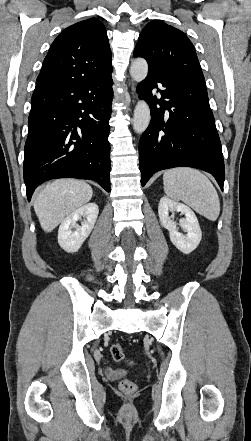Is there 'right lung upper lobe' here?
Here are the masks:
<instances>
[{"mask_svg":"<svg viewBox=\"0 0 251 441\" xmlns=\"http://www.w3.org/2000/svg\"><path fill=\"white\" fill-rule=\"evenodd\" d=\"M112 70L111 50L104 25L87 19L64 29L46 55L36 86L76 82Z\"/></svg>","mask_w":251,"mask_h":441,"instance_id":"obj_1","label":"right lung upper lobe"}]
</instances>
